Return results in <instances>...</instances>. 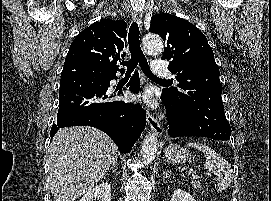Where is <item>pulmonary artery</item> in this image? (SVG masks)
Segmentation results:
<instances>
[{"mask_svg": "<svg viewBox=\"0 0 271 201\" xmlns=\"http://www.w3.org/2000/svg\"><path fill=\"white\" fill-rule=\"evenodd\" d=\"M152 72L156 76L169 77L170 71L164 60L154 59L152 63Z\"/></svg>", "mask_w": 271, "mask_h": 201, "instance_id": "pulmonary-artery-1", "label": "pulmonary artery"}]
</instances>
